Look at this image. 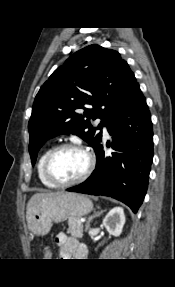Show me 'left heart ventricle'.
<instances>
[{
  "label": "left heart ventricle",
  "instance_id": "1",
  "mask_svg": "<svg viewBox=\"0 0 175 287\" xmlns=\"http://www.w3.org/2000/svg\"><path fill=\"white\" fill-rule=\"evenodd\" d=\"M88 158L78 149L67 148L59 151L53 158L50 171L61 182L78 178L86 169Z\"/></svg>",
  "mask_w": 175,
  "mask_h": 287
}]
</instances>
